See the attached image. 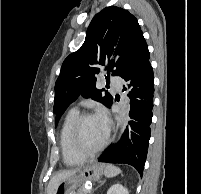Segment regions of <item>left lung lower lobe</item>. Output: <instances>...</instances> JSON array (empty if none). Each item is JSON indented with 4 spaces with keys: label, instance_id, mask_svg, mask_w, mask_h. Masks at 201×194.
<instances>
[{
    "label": "left lung lower lobe",
    "instance_id": "1",
    "mask_svg": "<svg viewBox=\"0 0 201 194\" xmlns=\"http://www.w3.org/2000/svg\"><path fill=\"white\" fill-rule=\"evenodd\" d=\"M149 58L148 46L144 39L127 71L122 75L130 89L128 97H130L131 121L120 141L107 148L98 160L129 164L141 176L147 156L153 109L154 74Z\"/></svg>",
    "mask_w": 201,
    "mask_h": 194
}]
</instances>
